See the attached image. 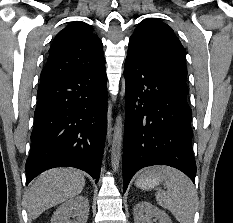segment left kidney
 <instances>
[{
	"label": "left kidney",
	"instance_id": "obj_1",
	"mask_svg": "<svg viewBox=\"0 0 233 223\" xmlns=\"http://www.w3.org/2000/svg\"><path fill=\"white\" fill-rule=\"evenodd\" d=\"M134 223H153L154 221H159V223H172L169 215L150 203V201H139L133 207Z\"/></svg>",
	"mask_w": 233,
	"mask_h": 223
}]
</instances>
